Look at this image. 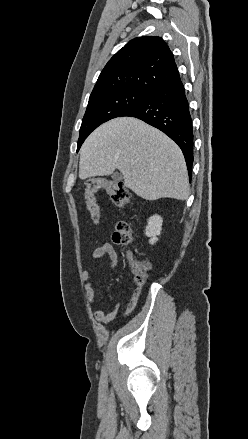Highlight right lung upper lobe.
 <instances>
[{
  "label": "right lung upper lobe",
  "mask_w": 248,
  "mask_h": 439,
  "mask_svg": "<svg viewBox=\"0 0 248 439\" xmlns=\"http://www.w3.org/2000/svg\"><path fill=\"white\" fill-rule=\"evenodd\" d=\"M178 77L174 56L162 38H135L108 61L89 100L122 90L150 94Z\"/></svg>",
  "instance_id": "right-lung-upper-lobe-1"
}]
</instances>
